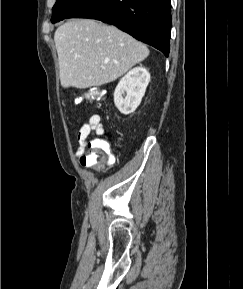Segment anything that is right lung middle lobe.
Instances as JSON below:
<instances>
[{
  "mask_svg": "<svg viewBox=\"0 0 243 289\" xmlns=\"http://www.w3.org/2000/svg\"><path fill=\"white\" fill-rule=\"evenodd\" d=\"M84 0H57L52 8L51 22L56 23L65 18L76 8H78Z\"/></svg>",
  "mask_w": 243,
  "mask_h": 289,
  "instance_id": "obj_1",
  "label": "right lung middle lobe"
}]
</instances>
